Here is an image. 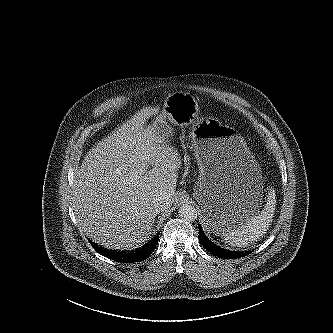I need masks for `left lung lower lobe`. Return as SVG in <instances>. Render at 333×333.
<instances>
[{"mask_svg": "<svg viewBox=\"0 0 333 333\" xmlns=\"http://www.w3.org/2000/svg\"><path fill=\"white\" fill-rule=\"evenodd\" d=\"M199 241L202 246L208 250L211 254L223 258V259H237L244 257L251 253V251H231L214 244L208 237L205 235L202 227L199 224Z\"/></svg>", "mask_w": 333, "mask_h": 333, "instance_id": "obj_1", "label": "left lung lower lobe"}]
</instances>
